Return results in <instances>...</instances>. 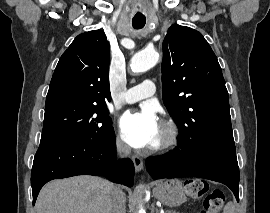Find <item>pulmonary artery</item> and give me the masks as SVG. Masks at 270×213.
Listing matches in <instances>:
<instances>
[{
    "label": "pulmonary artery",
    "mask_w": 270,
    "mask_h": 213,
    "mask_svg": "<svg viewBox=\"0 0 270 213\" xmlns=\"http://www.w3.org/2000/svg\"><path fill=\"white\" fill-rule=\"evenodd\" d=\"M156 84L151 80H144L140 85L128 89L124 94L125 103H135L152 97L156 92Z\"/></svg>",
    "instance_id": "obj_1"
}]
</instances>
